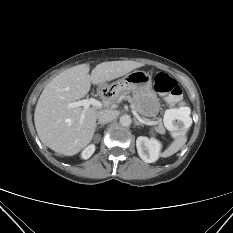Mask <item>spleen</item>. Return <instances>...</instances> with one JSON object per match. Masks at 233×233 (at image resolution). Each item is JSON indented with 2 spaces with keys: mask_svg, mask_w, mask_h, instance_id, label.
Wrapping results in <instances>:
<instances>
[{
  "mask_svg": "<svg viewBox=\"0 0 233 233\" xmlns=\"http://www.w3.org/2000/svg\"><path fill=\"white\" fill-rule=\"evenodd\" d=\"M190 108L182 107V108H173L166 110L164 114L165 123L171 124L173 120L178 119L185 123L186 127H189L192 124V119L190 117ZM186 143V137L180 136L178 137L170 147L164 151L162 154L163 157H168L176 153L184 144Z\"/></svg>",
  "mask_w": 233,
  "mask_h": 233,
  "instance_id": "3e777b00",
  "label": "spleen"
}]
</instances>
